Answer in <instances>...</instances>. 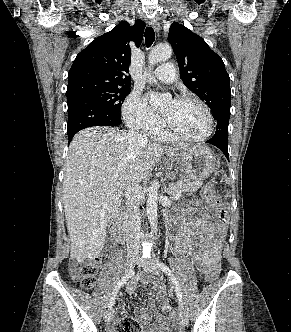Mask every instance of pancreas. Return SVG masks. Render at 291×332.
I'll return each instance as SVG.
<instances>
[{"instance_id":"1","label":"pancreas","mask_w":291,"mask_h":332,"mask_svg":"<svg viewBox=\"0 0 291 332\" xmlns=\"http://www.w3.org/2000/svg\"><path fill=\"white\" fill-rule=\"evenodd\" d=\"M202 184V180L190 181L188 179H184L175 183H170L168 185L167 192L173 198L179 193L197 191Z\"/></svg>"}]
</instances>
